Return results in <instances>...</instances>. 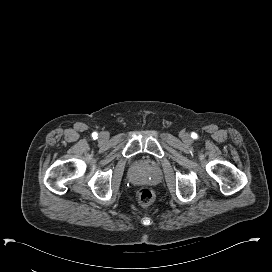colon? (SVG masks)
Instances as JSON below:
<instances>
[{
    "mask_svg": "<svg viewBox=\"0 0 272 272\" xmlns=\"http://www.w3.org/2000/svg\"><path fill=\"white\" fill-rule=\"evenodd\" d=\"M136 201L142 206H148L155 200V192L150 187H142L136 191Z\"/></svg>",
    "mask_w": 272,
    "mask_h": 272,
    "instance_id": "colon-1",
    "label": "colon"
}]
</instances>
